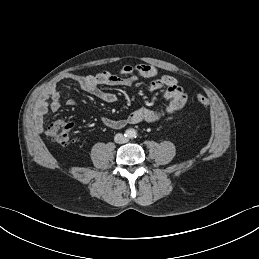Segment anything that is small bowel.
<instances>
[{"label": "small bowel", "instance_id": "small-bowel-1", "mask_svg": "<svg viewBox=\"0 0 259 259\" xmlns=\"http://www.w3.org/2000/svg\"><path fill=\"white\" fill-rule=\"evenodd\" d=\"M65 78L76 82L82 90L106 103H114L117 96L113 92L102 90V86H135L139 79H151L149 83L150 90L164 91V97L169 102L162 108L156 110L139 108L124 119L103 117L101 119L103 125L113 129H120L127 124L141 122L157 123L179 111L187 102V93L178 84V81L170 75L159 76L158 70L150 65H126L121 68L118 74L103 71L90 75L67 74ZM68 104L76 105L77 103L71 100ZM60 107L61 93L58 88L52 87L36 107L34 130L41 133L43 131L44 117L50 110L57 111Z\"/></svg>", "mask_w": 259, "mask_h": 259}]
</instances>
